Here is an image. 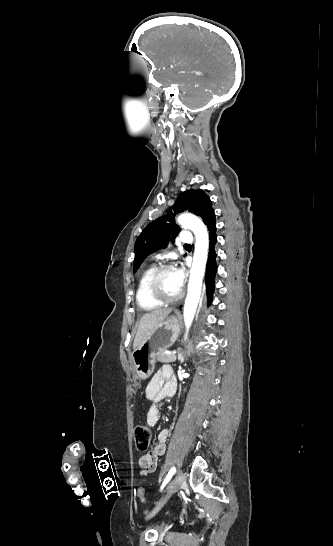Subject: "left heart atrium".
Masks as SVG:
<instances>
[{
    "instance_id": "obj_1",
    "label": "left heart atrium",
    "mask_w": 333,
    "mask_h": 546,
    "mask_svg": "<svg viewBox=\"0 0 333 546\" xmlns=\"http://www.w3.org/2000/svg\"><path fill=\"white\" fill-rule=\"evenodd\" d=\"M174 275H175V279H176V282H177V285L182 288L183 286V283H184V279H185V273H184V270L182 268H176L174 270Z\"/></svg>"
}]
</instances>
